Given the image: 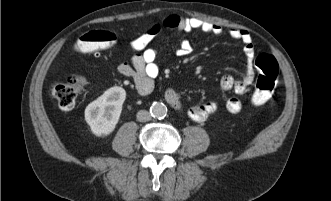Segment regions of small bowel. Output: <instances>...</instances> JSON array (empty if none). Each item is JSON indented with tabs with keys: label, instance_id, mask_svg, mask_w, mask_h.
I'll return each instance as SVG.
<instances>
[{
	"label": "small bowel",
	"instance_id": "obj_1",
	"mask_svg": "<svg viewBox=\"0 0 331 201\" xmlns=\"http://www.w3.org/2000/svg\"><path fill=\"white\" fill-rule=\"evenodd\" d=\"M162 26L183 33L201 31L206 34L220 35L224 32L223 27L217 24L194 17L171 15L163 21L162 25H154L132 40L130 46L135 53L129 62L119 64L118 71L132 79L136 91L142 96L151 93L154 87V79L159 73L158 52L156 49L150 48L149 44L160 32ZM227 33L231 38L239 40L244 44L245 72L244 76L239 80H235L229 74H224L220 80V89L225 92L233 91L237 95H243L254 80V46L252 36L247 30L237 28H231ZM190 52V43L187 40H182L175 50V55L183 57L190 54ZM165 99L172 107L183 110L180 96L173 88H168L165 91ZM225 107L230 113L236 114L241 110L242 103L237 96H232L226 101ZM218 108L219 102L210 100L189 107L187 113L193 121L202 122L216 112Z\"/></svg>",
	"mask_w": 331,
	"mask_h": 201
}]
</instances>
